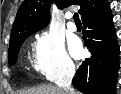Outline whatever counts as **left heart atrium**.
Segmentation results:
<instances>
[{"label":"left heart atrium","mask_w":121,"mask_h":94,"mask_svg":"<svg viewBox=\"0 0 121 94\" xmlns=\"http://www.w3.org/2000/svg\"><path fill=\"white\" fill-rule=\"evenodd\" d=\"M70 48H71V52L75 55V56H80L81 55V46L78 40L74 39L71 41L70 44Z\"/></svg>","instance_id":"1"}]
</instances>
